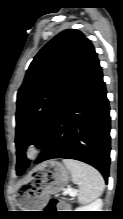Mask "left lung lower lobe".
<instances>
[{
  "label": "left lung lower lobe",
  "instance_id": "obj_1",
  "mask_svg": "<svg viewBox=\"0 0 123 219\" xmlns=\"http://www.w3.org/2000/svg\"><path fill=\"white\" fill-rule=\"evenodd\" d=\"M53 158L85 162L108 181L110 108L98 58L79 77L60 106L36 163Z\"/></svg>",
  "mask_w": 123,
  "mask_h": 219
}]
</instances>
